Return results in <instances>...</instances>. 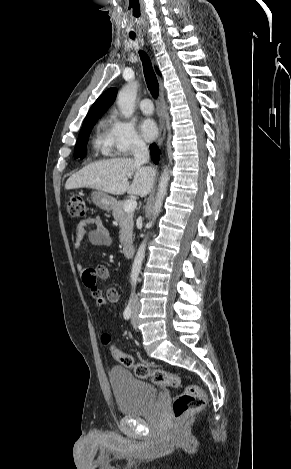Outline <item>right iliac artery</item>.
I'll use <instances>...</instances> for the list:
<instances>
[{
  "label": "right iliac artery",
  "instance_id": "right-iliac-artery-1",
  "mask_svg": "<svg viewBox=\"0 0 291 469\" xmlns=\"http://www.w3.org/2000/svg\"><path fill=\"white\" fill-rule=\"evenodd\" d=\"M131 305L130 303L127 305V307L125 308L124 312H123V317L125 320H128L130 317H131Z\"/></svg>",
  "mask_w": 291,
  "mask_h": 469
}]
</instances>
